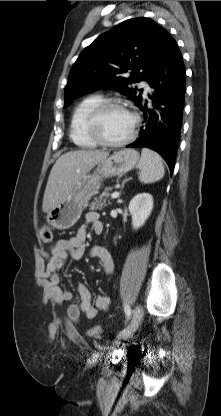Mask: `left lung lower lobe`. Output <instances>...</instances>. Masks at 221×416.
<instances>
[{"mask_svg": "<svg viewBox=\"0 0 221 416\" xmlns=\"http://www.w3.org/2000/svg\"><path fill=\"white\" fill-rule=\"evenodd\" d=\"M185 77L182 54L167 32L147 78L153 88V95L148 96L152 107L147 106V100H142L139 108L144 113V129L140 137L127 147L142 146L155 150L164 158L171 174L182 126Z\"/></svg>", "mask_w": 221, "mask_h": 416, "instance_id": "0a47b994", "label": "left lung lower lobe"}]
</instances>
